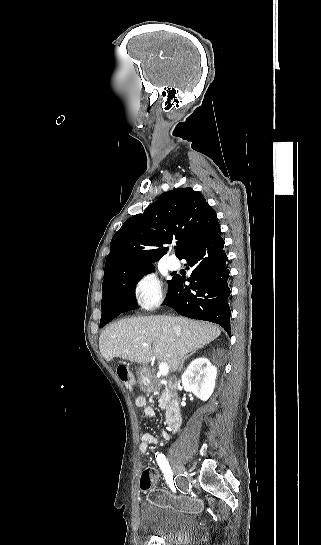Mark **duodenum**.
I'll return each instance as SVG.
<instances>
[{
	"instance_id": "duodenum-1",
	"label": "duodenum",
	"mask_w": 321,
	"mask_h": 545,
	"mask_svg": "<svg viewBox=\"0 0 321 545\" xmlns=\"http://www.w3.org/2000/svg\"><path fill=\"white\" fill-rule=\"evenodd\" d=\"M182 421L181 406L178 398H173L168 406L166 413V428L169 432L176 431Z\"/></svg>"
}]
</instances>
